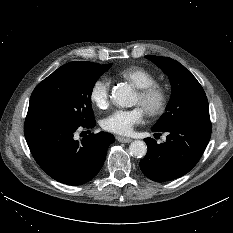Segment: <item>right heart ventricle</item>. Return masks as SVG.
Masks as SVG:
<instances>
[{
    "label": "right heart ventricle",
    "instance_id": "1",
    "mask_svg": "<svg viewBox=\"0 0 233 233\" xmlns=\"http://www.w3.org/2000/svg\"><path fill=\"white\" fill-rule=\"evenodd\" d=\"M119 77L129 81L137 89L157 82V78L142 67L126 68L119 73Z\"/></svg>",
    "mask_w": 233,
    "mask_h": 233
}]
</instances>
